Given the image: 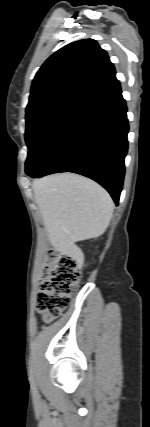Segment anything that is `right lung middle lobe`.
I'll list each match as a JSON object with an SVG mask.
<instances>
[{"mask_svg": "<svg viewBox=\"0 0 150 427\" xmlns=\"http://www.w3.org/2000/svg\"><path fill=\"white\" fill-rule=\"evenodd\" d=\"M79 108L73 105L57 104L39 108L26 114L27 175L34 172Z\"/></svg>", "mask_w": 150, "mask_h": 427, "instance_id": "right-lung-middle-lobe-1", "label": "right lung middle lobe"}]
</instances>
